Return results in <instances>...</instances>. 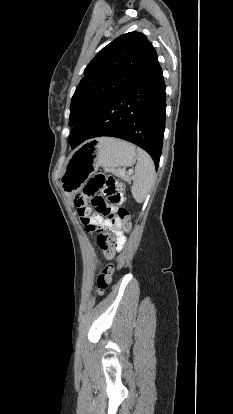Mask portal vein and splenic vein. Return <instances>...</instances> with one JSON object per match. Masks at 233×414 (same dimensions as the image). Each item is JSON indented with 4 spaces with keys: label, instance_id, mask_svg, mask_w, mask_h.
<instances>
[{
    "label": "portal vein and splenic vein",
    "instance_id": "1",
    "mask_svg": "<svg viewBox=\"0 0 233 414\" xmlns=\"http://www.w3.org/2000/svg\"><path fill=\"white\" fill-rule=\"evenodd\" d=\"M121 172H122V173H124V170H121ZM130 173H133V171H132V170H130Z\"/></svg>",
    "mask_w": 233,
    "mask_h": 414
}]
</instances>
